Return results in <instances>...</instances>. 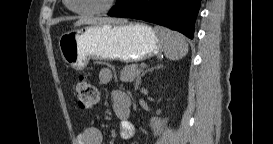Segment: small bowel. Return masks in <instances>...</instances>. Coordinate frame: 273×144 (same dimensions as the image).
Segmentation results:
<instances>
[{"label":"small bowel","instance_id":"obj_1","mask_svg":"<svg viewBox=\"0 0 273 144\" xmlns=\"http://www.w3.org/2000/svg\"><path fill=\"white\" fill-rule=\"evenodd\" d=\"M113 74L109 69L100 71L98 79L103 85L112 81ZM114 112L120 120V137L124 141L132 139L135 133V126L130 120V100L129 97L120 91L112 94ZM103 140L102 132L97 127H86L76 137L75 144H101Z\"/></svg>","mask_w":273,"mask_h":144}]
</instances>
